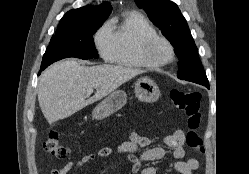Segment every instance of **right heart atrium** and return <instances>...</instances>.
<instances>
[{
  "label": "right heart atrium",
  "mask_w": 249,
  "mask_h": 174,
  "mask_svg": "<svg viewBox=\"0 0 249 174\" xmlns=\"http://www.w3.org/2000/svg\"><path fill=\"white\" fill-rule=\"evenodd\" d=\"M95 47L100 54V56L106 60L110 61L114 48V38L111 29L108 24H104L94 36Z\"/></svg>",
  "instance_id": "d8ad5b80"
}]
</instances>
